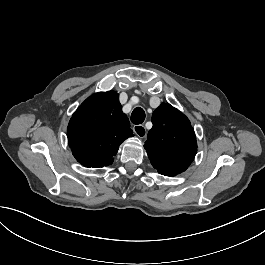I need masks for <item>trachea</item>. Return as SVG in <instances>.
I'll return each mask as SVG.
<instances>
[{
	"instance_id": "3493384b",
	"label": "trachea",
	"mask_w": 265,
	"mask_h": 265,
	"mask_svg": "<svg viewBox=\"0 0 265 265\" xmlns=\"http://www.w3.org/2000/svg\"><path fill=\"white\" fill-rule=\"evenodd\" d=\"M145 120V112L142 108L136 107L131 114V121L134 124H142Z\"/></svg>"
}]
</instances>
